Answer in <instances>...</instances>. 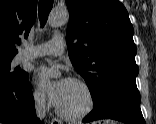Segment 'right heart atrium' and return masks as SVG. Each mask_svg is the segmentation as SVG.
<instances>
[{"label": "right heart atrium", "mask_w": 156, "mask_h": 124, "mask_svg": "<svg viewBox=\"0 0 156 124\" xmlns=\"http://www.w3.org/2000/svg\"><path fill=\"white\" fill-rule=\"evenodd\" d=\"M33 99L37 107L46 108L48 105V96L42 86L36 85L33 91Z\"/></svg>", "instance_id": "obj_1"}]
</instances>
